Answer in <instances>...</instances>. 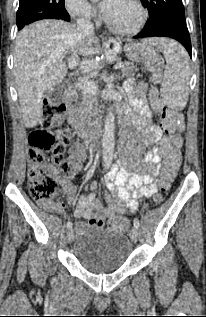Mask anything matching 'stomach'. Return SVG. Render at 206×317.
Here are the masks:
<instances>
[{
    "instance_id": "0dacf381",
    "label": "stomach",
    "mask_w": 206,
    "mask_h": 317,
    "mask_svg": "<svg viewBox=\"0 0 206 317\" xmlns=\"http://www.w3.org/2000/svg\"><path fill=\"white\" fill-rule=\"evenodd\" d=\"M124 50L126 52L129 61L134 62V66H142V62H146L153 56V49L143 43L130 42L124 46ZM85 66H96V59H85ZM81 74H90V67H81Z\"/></svg>"
}]
</instances>
